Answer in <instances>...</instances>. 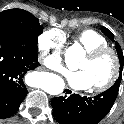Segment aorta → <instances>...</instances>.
<instances>
[{"label": "aorta", "mask_w": 124, "mask_h": 124, "mask_svg": "<svg viewBox=\"0 0 124 124\" xmlns=\"http://www.w3.org/2000/svg\"><path fill=\"white\" fill-rule=\"evenodd\" d=\"M43 90L51 95H57L63 92L65 84L62 78L57 75H52L43 84Z\"/></svg>", "instance_id": "obj_1"}]
</instances>
